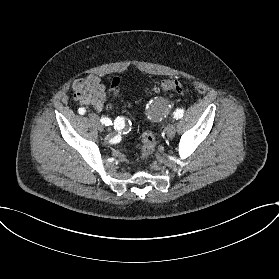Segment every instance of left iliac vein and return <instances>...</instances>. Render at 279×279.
Wrapping results in <instances>:
<instances>
[{
    "instance_id": "left-iliac-vein-1",
    "label": "left iliac vein",
    "mask_w": 279,
    "mask_h": 279,
    "mask_svg": "<svg viewBox=\"0 0 279 279\" xmlns=\"http://www.w3.org/2000/svg\"><path fill=\"white\" fill-rule=\"evenodd\" d=\"M166 133H167V136L169 138H172L174 136V134H175V127H174L173 124L170 123V124H168L166 126Z\"/></svg>"
}]
</instances>
